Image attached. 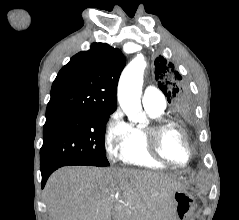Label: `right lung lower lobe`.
<instances>
[{"label":"right lung lower lobe","mask_w":239,"mask_h":220,"mask_svg":"<svg viewBox=\"0 0 239 220\" xmlns=\"http://www.w3.org/2000/svg\"><path fill=\"white\" fill-rule=\"evenodd\" d=\"M57 168H54V169H51L49 171H46V172H41L42 174V188L44 187L48 177L50 176V174L55 171Z\"/></svg>","instance_id":"obj_1"}]
</instances>
